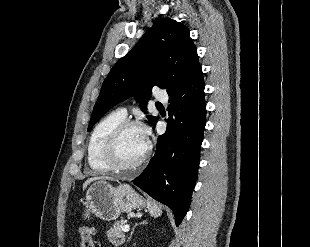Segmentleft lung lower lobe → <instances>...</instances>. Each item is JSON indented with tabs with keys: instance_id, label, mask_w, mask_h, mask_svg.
I'll return each mask as SVG.
<instances>
[{
	"instance_id": "left-lung-lower-lobe-1",
	"label": "left lung lower lobe",
	"mask_w": 310,
	"mask_h": 247,
	"mask_svg": "<svg viewBox=\"0 0 310 247\" xmlns=\"http://www.w3.org/2000/svg\"><path fill=\"white\" fill-rule=\"evenodd\" d=\"M204 80L199 67L182 85L168 93L167 129L157 141L148 166L133 183L167 205L178 226L186 215L200 162L206 124Z\"/></svg>"
}]
</instances>
